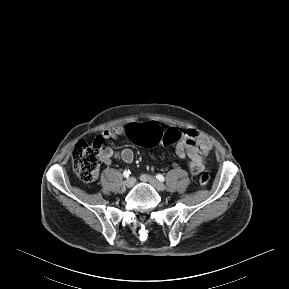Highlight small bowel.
<instances>
[{"mask_svg":"<svg viewBox=\"0 0 289 289\" xmlns=\"http://www.w3.org/2000/svg\"><path fill=\"white\" fill-rule=\"evenodd\" d=\"M126 129L118 126L111 129L104 130L99 138L102 141L116 139L124 135ZM213 146L211 141L199 134L193 129H187L183 134L180 141L177 142L175 147L176 155L181 158H187L189 161L190 172L197 175L204 170L205 159L211 152ZM119 159L125 163H131L134 159V153L130 148H124L120 151H114L109 147L103 148L102 161L105 164H110L112 159Z\"/></svg>","mask_w":289,"mask_h":289,"instance_id":"c3829d8e","label":"small bowel"}]
</instances>
